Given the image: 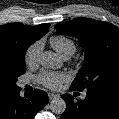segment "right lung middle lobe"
Returning a JSON list of instances; mask_svg holds the SVG:
<instances>
[{"mask_svg": "<svg viewBox=\"0 0 119 119\" xmlns=\"http://www.w3.org/2000/svg\"><path fill=\"white\" fill-rule=\"evenodd\" d=\"M30 45L27 41L10 45L5 61L0 64V80L16 85L17 77L25 73V52Z\"/></svg>", "mask_w": 119, "mask_h": 119, "instance_id": "1", "label": "right lung middle lobe"}]
</instances>
